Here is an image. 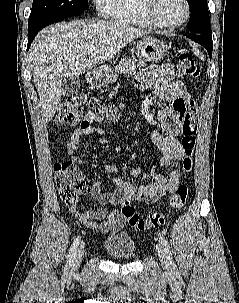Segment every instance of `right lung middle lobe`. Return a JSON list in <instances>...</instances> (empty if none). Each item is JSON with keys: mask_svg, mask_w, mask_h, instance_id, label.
<instances>
[{"mask_svg": "<svg viewBox=\"0 0 239 303\" xmlns=\"http://www.w3.org/2000/svg\"><path fill=\"white\" fill-rule=\"evenodd\" d=\"M88 9V0H33L28 26L54 16L80 14Z\"/></svg>", "mask_w": 239, "mask_h": 303, "instance_id": "right-lung-middle-lobe-1", "label": "right lung middle lobe"}]
</instances>
